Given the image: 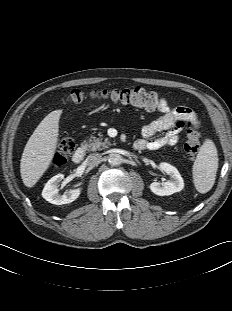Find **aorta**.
<instances>
[{"mask_svg": "<svg viewBox=\"0 0 232 311\" xmlns=\"http://www.w3.org/2000/svg\"><path fill=\"white\" fill-rule=\"evenodd\" d=\"M108 162L112 166L120 165L122 163V157L119 154L112 153L108 157Z\"/></svg>", "mask_w": 232, "mask_h": 311, "instance_id": "1", "label": "aorta"}]
</instances>
